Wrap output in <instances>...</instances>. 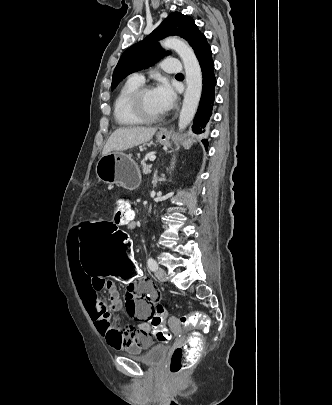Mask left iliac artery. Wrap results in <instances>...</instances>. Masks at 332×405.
<instances>
[{
  "mask_svg": "<svg viewBox=\"0 0 332 405\" xmlns=\"http://www.w3.org/2000/svg\"><path fill=\"white\" fill-rule=\"evenodd\" d=\"M147 264L151 271H156L158 269V264L152 257H149Z\"/></svg>",
  "mask_w": 332,
  "mask_h": 405,
  "instance_id": "left-iliac-artery-1",
  "label": "left iliac artery"
}]
</instances>
